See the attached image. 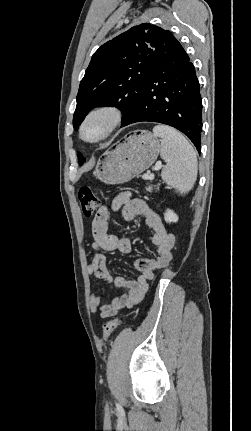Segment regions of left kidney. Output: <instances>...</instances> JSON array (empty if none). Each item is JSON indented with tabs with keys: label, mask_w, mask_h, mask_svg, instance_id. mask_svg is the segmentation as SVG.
Segmentation results:
<instances>
[{
	"label": "left kidney",
	"mask_w": 251,
	"mask_h": 431,
	"mask_svg": "<svg viewBox=\"0 0 251 431\" xmlns=\"http://www.w3.org/2000/svg\"><path fill=\"white\" fill-rule=\"evenodd\" d=\"M164 218H165V221L168 223L178 221V216L170 209L166 210V212L164 213Z\"/></svg>",
	"instance_id": "5707ae66"
}]
</instances>
